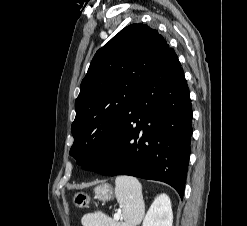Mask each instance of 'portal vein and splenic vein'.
Listing matches in <instances>:
<instances>
[{
    "instance_id": "portal-vein-and-splenic-vein-1",
    "label": "portal vein and splenic vein",
    "mask_w": 247,
    "mask_h": 226,
    "mask_svg": "<svg viewBox=\"0 0 247 226\" xmlns=\"http://www.w3.org/2000/svg\"><path fill=\"white\" fill-rule=\"evenodd\" d=\"M120 217H121V215H120L119 213H116V214L114 215V220H115V221H118V220L120 219Z\"/></svg>"
}]
</instances>
